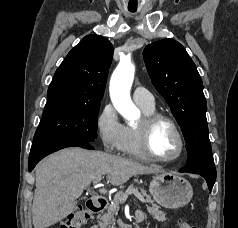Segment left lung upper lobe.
<instances>
[{
    "label": "left lung upper lobe",
    "mask_w": 238,
    "mask_h": 228,
    "mask_svg": "<svg viewBox=\"0 0 238 228\" xmlns=\"http://www.w3.org/2000/svg\"><path fill=\"white\" fill-rule=\"evenodd\" d=\"M143 58L153 85L182 129L188 151L184 169L216 176L203 83L194 62L185 48L172 39L149 44Z\"/></svg>",
    "instance_id": "obj_1"
}]
</instances>
